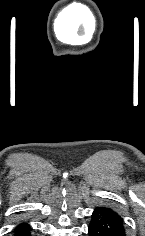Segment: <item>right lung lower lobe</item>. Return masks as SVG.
I'll use <instances>...</instances> for the list:
<instances>
[{
    "mask_svg": "<svg viewBox=\"0 0 145 236\" xmlns=\"http://www.w3.org/2000/svg\"><path fill=\"white\" fill-rule=\"evenodd\" d=\"M31 227L28 223H20L16 228L14 229L13 233L14 236H31Z\"/></svg>",
    "mask_w": 145,
    "mask_h": 236,
    "instance_id": "98d812e1",
    "label": "right lung lower lobe"
}]
</instances>
